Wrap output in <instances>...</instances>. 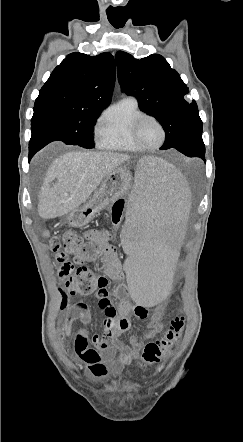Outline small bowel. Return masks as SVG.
Wrapping results in <instances>:
<instances>
[{
  "label": "small bowel",
  "instance_id": "1",
  "mask_svg": "<svg viewBox=\"0 0 243 442\" xmlns=\"http://www.w3.org/2000/svg\"><path fill=\"white\" fill-rule=\"evenodd\" d=\"M89 243L84 258L102 264L105 275L117 282L115 290L119 301L114 304L109 298V282L106 276H97V308L102 315L103 330L89 335L86 328H81L75 336L74 353L78 361L85 365L89 374L96 379H105L119 375L125 367L135 360L145 342L157 336L162 330V308L155 307L148 319L147 331L142 337L132 336L129 345H123L119 337L130 327L129 316L132 308L126 299L127 285L123 282L122 263L117 251L111 245V234L105 229H91L84 233ZM139 318L147 317L145 307H133ZM91 319V307L78 301L64 309V330L71 331L74 321L87 324Z\"/></svg>",
  "mask_w": 243,
  "mask_h": 442
}]
</instances>
